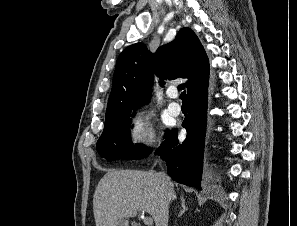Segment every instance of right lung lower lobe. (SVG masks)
<instances>
[{
	"mask_svg": "<svg viewBox=\"0 0 297 226\" xmlns=\"http://www.w3.org/2000/svg\"><path fill=\"white\" fill-rule=\"evenodd\" d=\"M207 87L188 97L189 112L182 123L187 130L185 141L179 143L177 130H172L166 134V139L156 151V154L167 161V171L173 180L199 190L207 122Z\"/></svg>",
	"mask_w": 297,
	"mask_h": 226,
	"instance_id": "obj_1",
	"label": "right lung lower lobe"
}]
</instances>
